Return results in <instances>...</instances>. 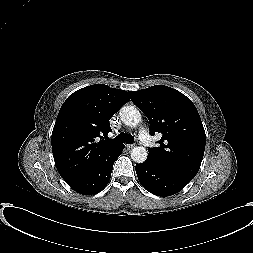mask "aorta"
Returning a JSON list of instances; mask_svg holds the SVG:
<instances>
[{
	"instance_id": "aorta-1",
	"label": "aorta",
	"mask_w": 253,
	"mask_h": 253,
	"mask_svg": "<svg viewBox=\"0 0 253 253\" xmlns=\"http://www.w3.org/2000/svg\"><path fill=\"white\" fill-rule=\"evenodd\" d=\"M120 118L127 126H137L141 122V114L134 106H123ZM131 159L136 163H143L147 159V150L143 146H136L131 150Z\"/></svg>"
}]
</instances>
